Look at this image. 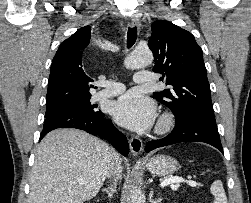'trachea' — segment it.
Listing matches in <instances>:
<instances>
[{
    "label": "trachea",
    "mask_w": 251,
    "mask_h": 203,
    "mask_svg": "<svg viewBox=\"0 0 251 203\" xmlns=\"http://www.w3.org/2000/svg\"><path fill=\"white\" fill-rule=\"evenodd\" d=\"M137 39V28L136 26L133 28H128V33H127V46L132 47L134 43L136 42Z\"/></svg>",
    "instance_id": "obj_1"
}]
</instances>
